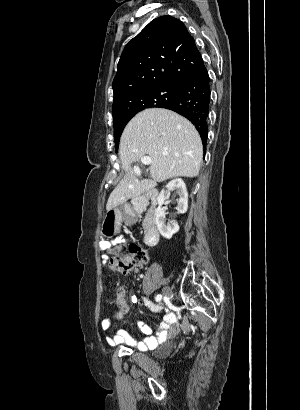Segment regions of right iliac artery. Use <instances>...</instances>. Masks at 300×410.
Returning a JSON list of instances; mask_svg holds the SVG:
<instances>
[{"instance_id": "obj_1", "label": "right iliac artery", "mask_w": 300, "mask_h": 410, "mask_svg": "<svg viewBox=\"0 0 300 410\" xmlns=\"http://www.w3.org/2000/svg\"><path fill=\"white\" fill-rule=\"evenodd\" d=\"M162 299V295L161 294H158L156 297H155V300L158 302V301H160Z\"/></svg>"}]
</instances>
